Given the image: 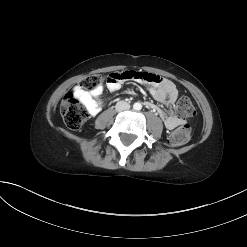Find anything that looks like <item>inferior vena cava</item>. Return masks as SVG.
I'll return each instance as SVG.
<instances>
[{
  "label": "inferior vena cava",
  "instance_id": "obj_1",
  "mask_svg": "<svg viewBox=\"0 0 247 247\" xmlns=\"http://www.w3.org/2000/svg\"><path fill=\"white\" fill-rule=\"evenodd\" d=\"M115 108L118 112H120V111L128 110L130 108V105L125 101H119L117 102Z\"/></svg>",
  "mask_w": 247,
  "mask_h": 247
}]
</instances>
